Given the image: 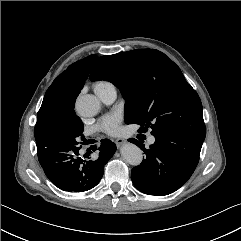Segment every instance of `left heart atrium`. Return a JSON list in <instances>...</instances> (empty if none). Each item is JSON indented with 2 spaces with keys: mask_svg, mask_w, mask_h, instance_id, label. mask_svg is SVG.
I'll return each instance as SVG.
<instances>
[{
  "mask_svg": "<svg viewBox=\"0 0 241 241\" xmlns=\"http://www.w3.org/2000/svg\"><path fill=\"white\" fill-rule=\"evenodd\" d=\"M121 118L119 113L105 116L99 121L97 128L108 134H116L120 129Z\"/></svg>",
  "mask_w": 241,
  "mask_h": 241,
  "instance_id": "left-heart-atrium-1",
  "label": "left heart atrium"
}]
</instances>
